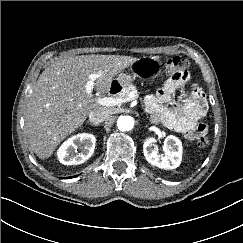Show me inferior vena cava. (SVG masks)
I'll list each match as a JSON object with an SVG mask.
<instances>
[{
    "instance_id": "inferior-vena-cava-1",
    "label": "inferior vena cava",
    "mask_w": 243,
    "mask_h": 243,
    "mask_svg": "<svg viewBox=\"0 0 243 243\" xmlns=\"http://www.w3.org/2000/svg\"><path fill=\"white\" fill-rule=\"evenodd\" d=\"M108 117H109V111L104 107L98 108V109L90 112V114H89V119L93 123L104 122L108 119Z\"/></svg>"
}]
</instances>
